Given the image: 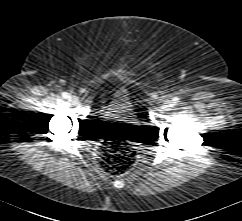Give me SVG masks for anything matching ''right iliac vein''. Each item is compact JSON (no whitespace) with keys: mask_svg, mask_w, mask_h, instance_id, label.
Returning <instances> with one entry per match:
<instances>
[{"mask_svg":"<svg viewBox=\"0 0 242 221\" xmlns=\"http://www.w3.org/2000/svg\"><path fill=\"white\" fill-rule=\"evenodd\" d=\"M71 102L73 104H77L78 103V99L76 97H71Z\"/></svg>","mask_w":242,"mask_h":221,"instance_id":"1","label":"right iliac vein"}]
</instances>
